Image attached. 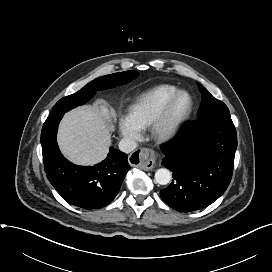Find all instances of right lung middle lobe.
Listing matches in <instances>:
<instances>
[{
	"label": "right lung middle lobe",
	"mask_w": 272,
	"mask_h": 272,
	"mask_svg": "<svg viewBox=\"0 0 272 272\" xmlns=\"http://www.w3.org/2000/svg\"><path fill=\"white\" fill-rule=\"evenodd\" d=\"M138 75V72L130 70L99 77L78 92L60 99L53 107L50 116L65 113L72 108L83 105L94 96L96 91L124 85L138 77Z\"/></svg>",
	"instance_id": "1"
}]
</instances>
